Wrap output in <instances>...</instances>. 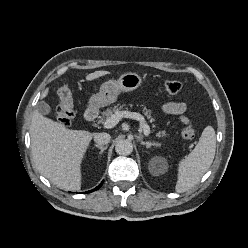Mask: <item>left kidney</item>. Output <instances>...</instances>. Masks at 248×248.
<instances>
[{
  "mask_svg": "<svg viewBox=\"0 0 248 248\" xmlns=\"http://www.w3.org/2000/svg\"><path fill=\"white\" fill-rule=\"evenodd\" d=\"M161 163L163 164V169L166 168V161L163 157H154L149 162V170L152 174H158L159 170L157 168V165Z\"/></svg>",
  "mask_w": 248,
  "mask_h": 248,
  "instance_id": "5707ae66",
  "label": "left kidney"
}]
</instances>
